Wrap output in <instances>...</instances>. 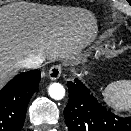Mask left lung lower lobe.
I'll return each instance as SVG.
<instances>
[{"label":"left lung lower lobe","mask_w":131,"mask_h":131,"mask_svg":"<svg viewBox=\"0 0 131 131\" xmlns=\"http://www.w3.org/2000/svg\"><path fill=\"white\" fill-rule=\"evenodd\" d=\"M64 118L69 131H131V117L122 118L102 106L79 79L68 82Z\"/></svg>","instance_id":"1"}]
</instances>
